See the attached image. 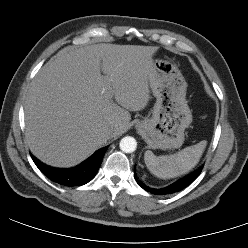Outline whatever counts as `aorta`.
Returning <instances> with one entry per match:
<instances>
[{"mask_svg":"<svg viewBox=\"0 0 248 248\" xmlns=\"http://www.w3.org/2000/svg\"><path fill=\"white\" fill-rule=\"evenodd\" d=\"M120 149L125 153H132L136 150L137 142L133 137L126 136L120 141Z\"/></svg>","mask_w":248,"mask_h":248,"instance_id":"1","label":"aorta"}]
</instances>
